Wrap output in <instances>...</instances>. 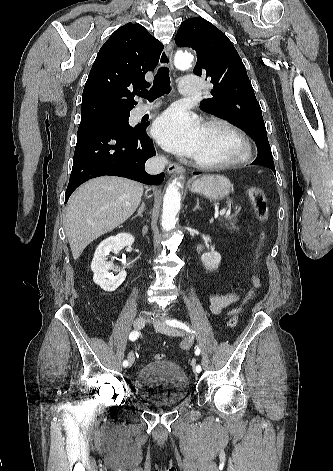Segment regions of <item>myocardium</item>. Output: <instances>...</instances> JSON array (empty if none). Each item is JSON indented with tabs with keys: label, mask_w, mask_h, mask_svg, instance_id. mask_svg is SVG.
Masks as SVG:
<instances>
[{
	"label": "myocardium",
	"mask_w": 333,
	"mask_h": 471,
	"mask_svg": "<svg viewBox=\"0 0 333 471\" xmlns=\"http://www.w3.org/2000/svg\"><path fill=\"white\" fill-rule=\"evenodd\" d=\"M213 126L222 127L229 131L236 138L239 144V150L237 154L232 158L222 161H202L197 158H194V165L200 169L216 170L235 167L246 163L250 159L252 154V146L246 133L232 122L219 117L208 119L203 124L204 128Z\"/></svg>",
	"instance_id": "obj_1"
}]
</instances>
